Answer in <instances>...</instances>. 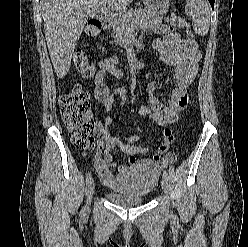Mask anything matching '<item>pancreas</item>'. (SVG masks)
<instances>
[{"instance_id":"1","label":"pancreas","mask_w":248,"mask_h":247,"mask_svg":"<svg viewBox=\"0 0 248 247\" xmlns=\"http://www.w3.org/2000/svg\"><path fill=\"white\" fill-rule=\"evenodd\" d=\"M165 21L179 28L186 26V22L179 18H166ZM162 25V17L155 12L145 9L130 10L122 15L115 16L110 21L113 37L119 42L127 40V33L133 29L155 30Z\"/></svg>"}]
</instances>
